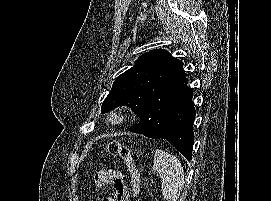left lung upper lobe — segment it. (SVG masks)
Masks as SVG:
<instances>
[{"mask_svg": "<svg viewBox=\"0 0 271 201\" xmlns=\"http://www.w3.org/2000/svg\"><path fill=\"white\" fill-rule=\"evenodd\" d=\"M185 79L182 61L166 50H151L116 78L101 111L107 113L118 106H128L140 118L142 134L160 138Z\"/></svg>", "mask_w": 271, "mask_h": 201, "instance_id": "5c2ea615", "label": "left lung upper lobe"}]
</instances>
